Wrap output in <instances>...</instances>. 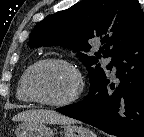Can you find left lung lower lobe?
<instances>
[{
    "mask_svg": "<svg viewBox=\"0 0 144 137\" xmlns=\"http://www.w3.org/2000/svg\"><path fill=\"white\" fill-rule=\"evenodd\" d=\"M115 65L119 84L105 77L76 104L56 111L118 137H144V25L136 38L109 64Z\"/></svg>",
    "mask_w": 144,
    "mask_h": 137,
    "instance_id": "left-lung-lower-lobe-1",
    "label": "left lung lower lobe"
}]
</instances>
